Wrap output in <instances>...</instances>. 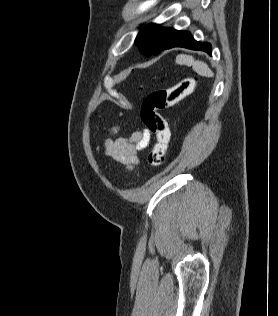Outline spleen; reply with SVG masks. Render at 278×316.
I'll return each mask as SVG.
<instances>
[{
	"mask_svg": "<svg viewBox=\"0 0 278 316\" xmlns=\"http://www.w3.org/2000/svg\"><path fill=\"white\" fill-rule=\"evenodd\" d=\"M176 63L192 66L194 71L201 76L212 77L214 74L208 65L202 61L195 60L192 56L180 54L176 57Z\"/></svg>",
	"mask_w": 278,
	"mask_h": 316,
	"instance_id": "spleen-1",
	"label": "spleen"
}]
</instances>
